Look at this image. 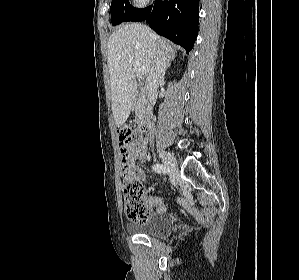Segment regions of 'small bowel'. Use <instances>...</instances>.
<instances>
[{
  "instance_id": "1",
  "label": "small bowel",
  "mask_w": 299,
  "mask_h": 280,
  "mask_svg": "<svg viewBox=\"0 0 299 280\" xmlns=\"http://www.w3.org/2000/svg\"><path fill=\"white\" fill-rule=\"evenodd\" d=\"M147 158L146 143L140 137H135L134 140L128 145V174L133 180H145L146 176L143 170L135 165V161L144 162ZM144 202L152 210V207L156 208V211L160 214L166 212V207L160 197H148L145 194L142 195ZM180 203L191 213L197 220H208L213 212L211 209L206 208L203 211H198L191 204L180 200Z\"/></svg>"
}]
</instances>
